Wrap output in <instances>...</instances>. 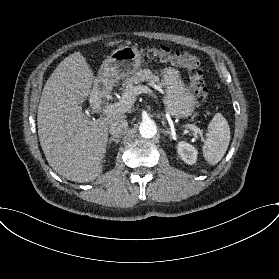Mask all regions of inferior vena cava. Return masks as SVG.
<instances>
[{"label":"inferior vena cava","mask_w":279,"mask_h":279,"mask_svg":"<svg viewBox=\"0 0 279 279\" xmlns=\"http://www.w3.org/2000/svg\"><path fill=\"white\" fill-rule=\"evenodd\" d=\"M108 131L114 138H121L128 131V122L125 118L118 117L110 126Z\"/></svg>","instance_id":"inferior-vena-cava-1"}]
</instances>
